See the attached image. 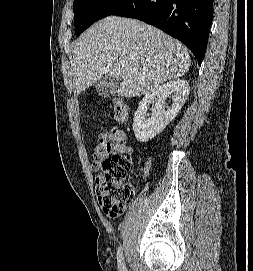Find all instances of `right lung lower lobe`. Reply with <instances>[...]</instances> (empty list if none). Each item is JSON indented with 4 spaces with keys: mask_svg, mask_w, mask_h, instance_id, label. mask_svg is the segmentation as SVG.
<instances>
[{
    "mask_svg": "<svg viewBox=\"0 0 253 271\" xmlns=\"http://www.w3.org/2000/svg\"><path fill=\"white\" fill-rule=\"evenodd\" d=\"M112 15L136 18L184 43L204 58L213 19V0H128Z\"/></svg>",
    "mask_w": 253,
    "mask_h": 271,
    "instance_id": "1",
    "label": "right lung lower lobe"
}]
</instances>
